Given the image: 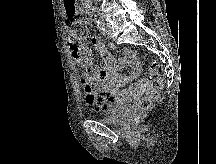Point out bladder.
<instances>
[{"instance_id": "31cf9c89", "label": "bladder", "mask_w": 216, "mask_h": 164, "mask_svg": "<svg viewBox=\"0 0 216 164\" xmlns=\"http://www.w3.org/2000/svg\"><path fill=\"white\" fill-rule=\"evenodd\" d=\"M129 109L127 107H117L113 114L103 117L100 120L110 125H123L127 119Z\"/></svg>"}]
</instances>
